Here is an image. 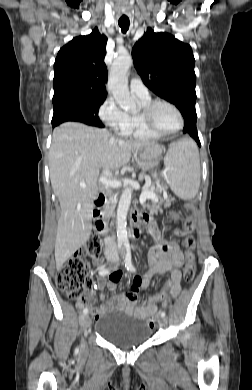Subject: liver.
<instances>
[{"mask_svg": "<svg viewBox=\"0 0 252 390\" xmlns=\"http://www.w3.org/2000/svg\"><path fill=\"white\" fill-rule=\"evenodd\" d=\"M159 145L125 141L107 130L67 122L56 127L49 151L50 180L61 206L55 241V261L60 268L85 242L92 230V201L98 194L100 170L126 165L132 151ZM162 150V149H161ZM84 182L86 187L80 186Z\"/></svg>", "mask_w": 252, "mask_h": 390, "instance_id": "1", "label": "liver"}]
</instances>
